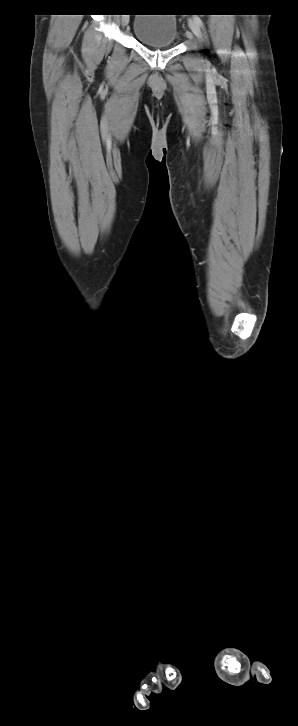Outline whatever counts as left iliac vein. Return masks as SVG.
<instances>
[{"label":"left iliac vein","mask_w":298,"mask_h":726,"mask_svg":"<svg viewBox=\"0 0 298 726\" xmlns=\"http://www.w3.org/2000/svg\"><path fill=\"white\" fill-rule=\"evenodd\" d=\"M188 24H189V27H190L192 33L197 38H201V30H200L199 25L194 20H192V19L189 20Z\"/></svg>","instance_id":"1"}]
</instances>
